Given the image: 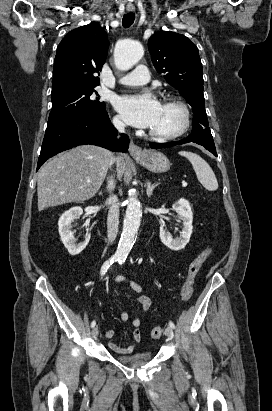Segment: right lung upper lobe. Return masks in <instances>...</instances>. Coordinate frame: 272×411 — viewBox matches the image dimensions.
I'll use <instances>...</instances> for the list:
<instances>
[{
    "label": "right lung upper lobe",
    "mask_w": 272,
    "mask_h": 411,
    "mask_svg": "<svg viewBox=\"0 0 272 411\" xmlns=\"http://www.w3.org/2000/svg\"><path fill=\"white\" fill-rule=\"evenodd\" d=\"M108 46L106 32L96 23L70 31L57 48L52 98L99 85L100 80L95 73L105 63Z\"/></svg>",
    "instance_id": "cb5924a9"
}]
</instances>
